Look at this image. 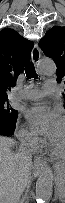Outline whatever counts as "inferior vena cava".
I'll return each mask as SVG.
<instances>
[{
  "label": "inferior vena cava",
  "instance_id": "inferior-vena-cava-1",
  "mask_svg": "<svg viewBox=\"0 0 65 203\" xmlns=\"http://www.w3.org/2000/svg\"><path fill=\"white\" fill-rule=\"evenodd\" d=\"M16 156L24 162H29L32 160L31 153L27 150L25 141L21 142ZM24 170H26V167L24 168ZM25 183H26V180H22V182H20V184L15 188L12 194V197L9 200V203H21L20 196L24 190ZM4 202L5 201L1 199L0 203H4Z\"/></svg>",
  "mask_w": 65,
  "mask_h": 203
}]
</instances>
